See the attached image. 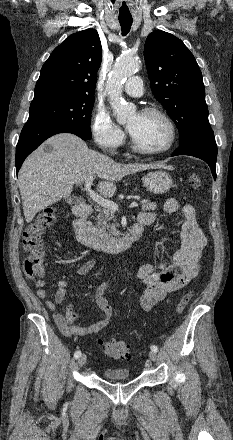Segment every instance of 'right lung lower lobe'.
<instances>
[{
    "label": "right lung lower lobe",
    "mask_w": 233,
    "mask_h": 440,
    "mask_svg": "<svg viewBox=\"0 0 233 440\" xmlns=\"http://www.w3.org/2000/svg\"><path fill=\"white\" fill-rule=\"evenodd\" d=\"M58 133H73L83 140L88 138L75 128L62 125L26 123L16 147V170L19 171L25 158L47 138Z\"/></svg>",
    "instance_id": "98d812e1"
}]
</instances>
